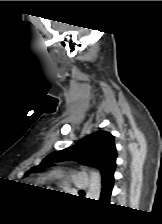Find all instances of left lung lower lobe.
Returning a JSON list of instances; mask_svg holds the SVG:
<instances>
[{
	"instance_id": "obj_1",
	"label": "left lung lower lobe",
	"mask_w": 162,
	"mask_h": 224,
	"mask_svg": "<svg viewBox=\"0 0 162 224\" xmlns=\"http://www.w3.org/2000/svg\"><path fill=\"white\" fill-rule=\"evenodd\" d=\"M113 182H114V171L102 181V190L100 197L101 202L109 203V199L113 189Z\"/></svg>"
}]
</instances>
